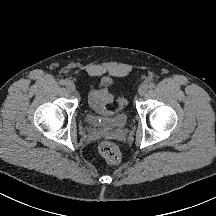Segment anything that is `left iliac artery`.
Instances as JSON below:
<instances>
[{"label": "left iliac artery", "instance_id": "1", "mask_svg": "<svg viewBox=\"0 0 216 216\" xmlns=\"http://www.w3.org/2000/svg\"><path fill=\"white\" fill-rule=\"evenodd\" d=\"M155 87V84L153 83V82H151L150 84H149V88H154Z\"/></svg>", "mask_w": 216, "mask_h": 216}]
</instances>
